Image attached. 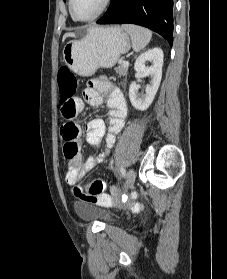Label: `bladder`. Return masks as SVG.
Listing matches in <instances>:
<instances>
[{
	"label": "bladder",
	"mask_w": 227,
	"mask_h": 279,
	"mask_svg": "<svg viewBox=\"0 0 227 279\" xmlns=\"http://www.w3.org/2000/svg\"><path fill=\"white\" fill-rule=\"evenodd\" d=\"M75 210L77 214L84 220H102L106 224H112L114 222L113 216L106 210L100 209L97 206L77 203L75 204Z\"/></svg>",
	"instance_id": "obj_1"
}]
</instances>
